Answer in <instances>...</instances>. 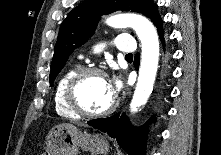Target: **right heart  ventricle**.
Listing matches in <instances>:
<instances>
[{
    "mask_svg": "<svg viewBox=\"0 0 221 155\" xmlns=\"http://www.w3.org/2000/svg\"><path fill=\"white\" fill-rule=\"evenodd\" d=\"M80 70L79 66H74L68 69L58 80L55 92H54V106L58 115L65 117L76 119L79 117L76 113H74L65 102V89L66 86L71 79V77Z\"/></svg>",
    "mask_w": 221,
    "mask_h": 155,
    "instance_id": "right-heart-ventricle-1",
    "label": "right heart ventricle"
}]
</instances>
